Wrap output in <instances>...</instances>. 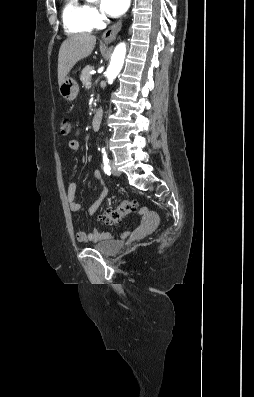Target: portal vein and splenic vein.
Instances as JSON below:
<instances>
[{
    "label": "portal vein and splenic vein",
    "mask_w": 254,
    "mask_h": 397,
    "mask_svg": "<svg viewBox=\"0 0 254 397\" xmlns=\"http://www.w3.org/2000/svg\"><path fill=\"white\" fill-rule=\"evenodd\" d=\"M86 86H87V87H90V86H91V82L88 81V82L86 83Z\"/></svg>",
    "instance_id": "obj_1"
}]
</instances>
